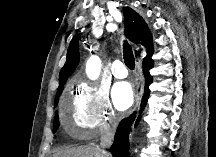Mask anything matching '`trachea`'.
I'll return each instance as SVG.
<instances>
[{"instance_id": "3493384b", "label": "trachea", "mask_w": 216, "mask_h": 157, "mask_svg": "<svg viewBox=\"0 0 216 157\" xmlns=\"http://www.w3.org/2000/svg\"><path fill=\"white\" fill-rule=\"evenodd\" d=\"M123 56H124V62L127 65V67L133 70L135 65V59H134L132 48L127 41L123 43Z\"/></svg>"}]
</instances>
